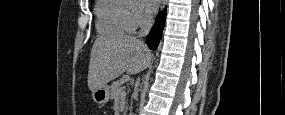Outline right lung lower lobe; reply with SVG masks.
<instances>
[{"label": "right lung lower lobe", "mask_w": 285, "mask_h": 115, "mask_svg": "<svg viewBox=\"0 0 285 115\" xmlns=\"http://www.w3.org/2000/svg\"><path fill=\"white\" fill-rule=\"evenodd\" d=\"M165 18L166 10H163L162 13L158 14L156 23L154 24L153 28L151 29V32L146 38V43L152 50H155L159 44L162 30L165 25Z\"/></svg>", "instance_id": "right-lung-lower-lobe-1"}]
</instances>
